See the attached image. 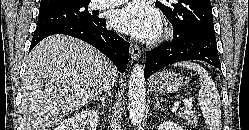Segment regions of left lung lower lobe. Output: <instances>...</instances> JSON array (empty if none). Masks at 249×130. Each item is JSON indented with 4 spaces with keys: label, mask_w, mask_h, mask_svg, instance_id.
I'll list each match as a JSON object with an SVG mask.
<instances>
[{
    "label": "left lung lower lobe",
    "mask_w": 249,
    "mask_h": 130,
    "mask_svg": "<svg viewBox=\"0 0 249 130\" xmlns=\"http://www.w3.org/2000/svg\"><path fill=\"white\" fill-rule=\"evenodd\" d=\"M173 30L171 42L147 51L145 79L165 66L187 60H202L221 70L215 35L201 31L181 34Z\"/></svg>",
    "instance_id": "1"
}]
</instances>
